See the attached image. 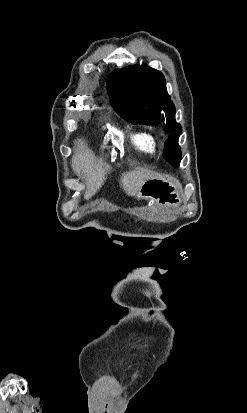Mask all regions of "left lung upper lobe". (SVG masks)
Segmentation results:
<instances>
[{
    "instance_id": "left-lung-upper-lobe-1",
    "label": "left lung upper lobe",
    "mask_w": 247,
    "mask_h": 413,
    "mask_svg": "<svg viewBox=\"0 0 247 413\" xmlns=\"http://www.w3.org/2000/svg\"><path fill=\"white\" fill-rule=\"evenodd\" d=\"M107 90L114 109L133 123L157 125L160 119H166L164 131L170 136L165 144L164 158L178 166L181 161L178 138L182 128L175 120L176 110L167 93L163 74L147 65L129 66L110 74Z\"/></svg>"
}]
</instances>
